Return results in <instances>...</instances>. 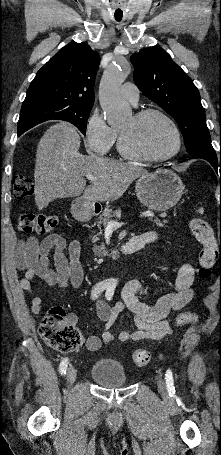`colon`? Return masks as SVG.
Returning a JSON list of instances; mask_svg holds the SVG:
<instances>
[{
	"label": "colon",
	"mask_w": 221,
	"mask_h": 455,
	"mask_svg": "<svg viewBox=\"0 0 221 455\" xmlns=\"http://www.w3.org/2000/svg\"><path fill=\"white\" fill-rule=\"evenodd\" d=\"M34 192V184L30 178L17 176L13 183V197L15 200H23ZM58 219L48 213H23L19 219V228L25 233H50L57 226ZM189 228L196 240L201 244L199 253L198 275L202 280H208L216 261L221 257V243L218 244L209 224L202 218L194 217L189 221ZM195 320L194 313L181 312L177 323L180 325L192 323ZM39 334L43 341L52 349L60 352H70L83 345V337L78 328L67 317L62 307L51 308L44 315ZM150 360V354L146 350H137L132 353L131 361L136 366H144Z\"/></svg>",
	"instance_id": "5ec220e1"
}]
</instances>
